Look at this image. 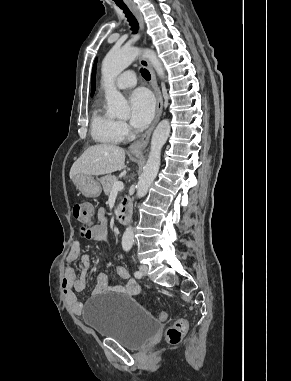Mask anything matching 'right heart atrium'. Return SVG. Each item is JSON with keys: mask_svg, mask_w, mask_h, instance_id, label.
I'll list each match as a JSON object with an SVG mask.
<instances>
[{"mask_svg": "<svg viewBox=\"0 0 291 381\" xmlns=\"http://www.w3.org/2000/svg\"><path fill=\"white\" fill-rule=\"evenodd\" d=\"M119 127L123 135H127L129 133V128L126 123L119 122Z\"/></svg>", "mask_w": 291, "mask_h": 381, "instance_id": "1", "label": "right heart atrium"}]
</instances>
